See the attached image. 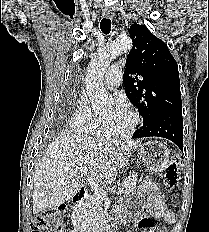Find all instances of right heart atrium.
<instances>
[{
	"instance_id": "obj_1",
	"label": "right heart atrium",
	"mask_w": 209,
	"mask_h": 232,
	"mask_svg": "<svg viewBox=\"0 0 209 232\" xmlns=\"http://www.w3.org/2000/svg\"><path fill=\"white\" fill-rule=\"evenodd\" d=\"M93 119L94 114L91 111L87 97L81 95L72 116V127L76 131H85Z\"/></svg>"
}]
</instances>
